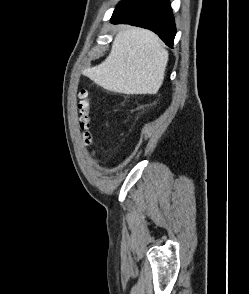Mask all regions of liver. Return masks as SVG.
I'll list each match as a JSON object with an SVG mask.
<instances>
[{
  "label": "liver",
  "mask_w": 249,
  "mask_h": 294,
  "mask_svg": "<svg viewBox=\"0 0 249 294\" xmlns=\"http://www.w3.org/2000/svg\"><path fill=\"white\" fill-rule=\"evenodd\" d=\"M168 51L153 32L124 26L116 35L109 56L85 70V75L106 90L127 95L157 93L163 84Z\"/></svg>",
  "instance_id": "obj_1"
}]
</instances>
